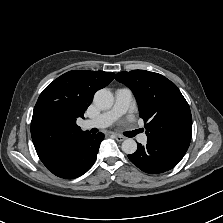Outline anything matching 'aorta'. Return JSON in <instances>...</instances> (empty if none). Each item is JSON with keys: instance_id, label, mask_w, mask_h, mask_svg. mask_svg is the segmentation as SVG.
Returning <instances> with one entry per match:
<instances>
[{"instance_id": "762f6f07", "label": "aorta", "mask_w": 223, "mask_h": 223, "mask_svg": "<svg viewBox=\"0 0 223 223\" xmlns=\"http://www.w3.org/2000/svg\"><path fill=\"white\" fill-rule=\"evenodd\" d=\"M113 103L114 96L107 88L98 90L94 95V104L101 109H110ZM121 148L124 153L133 154L137 150V143L135 140L128 138L123 141Z\"/></svg>"}]
</instances>
